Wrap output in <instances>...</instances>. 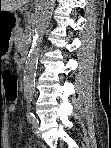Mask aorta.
I'll use <instances>...</instances> for the list:
<instances>
[{"instance_id": "obj_1", "label": "aorta", "mask_w": 111, "mask_h": 148, "mask_svg": "<svg viewBox=\"0 0 111 148\" xmlns=\"http://www.w3.org/2000/svg\"><path fill=\"white\" fill-rule=\"evenodd\" d=\"M54 0H40L35 12V35L28 54L23 74L24 97L27 101L32 99L34 93L35 72L38 64L40 45L44 33L49 25Z\"/></svg>"}]
</instances>
